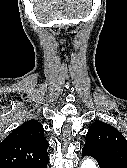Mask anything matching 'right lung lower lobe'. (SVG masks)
Wrapping results in <instances>:
<instances>
[{
	"mask_svg": "<svg viewBox=\"0 0 127 168\" xmlns=\"http://www.w3.org/2000/svg\"><path fill=\"white\" fill-rule=\"evenodd\" d=\"M49 162V158L39 164H31V163H11V164H4L1 165L0 168H47V164Z\"/></svg>",
	"mask_w": 127,
	"mask_h": 168,
	"instance_id": "1",
	"label": "right lung lower lobe"
}]
</instances>
